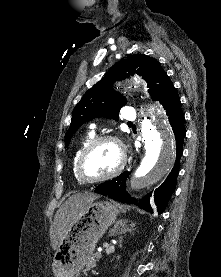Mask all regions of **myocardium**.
<instances>
[{"mask_svg": "<svg viewBox=\"0 0 221 277\" xmlns=\"http://www.w3.org/2000/svg\"><path fill=\"white\" fill-rule=\"evenodd\" d=\"M104 142H111L116 145V147L118 148V151H119V163L116 166V168L113 171H111L110 173H108L104 176H101V177L89 178L83 173V169H82L83 162H84L85 158L87 157V155L94 148H96L98 145H100L101 143H104ZM126 161H127L126 149H125L122 141L118 137L113 136V135H102V136H98V137L94 138L92 141H90L84 147V149L81 151V153L76 161L75 170H76L77 177L82 182L98 183V182H103V181L112 179L115 176H117L125 167Z\"/></svg>", "mask_w": 221, "mask_h": 277, "instance_id": "myocardium-1", "label": "myocardium"}]
</instances>
